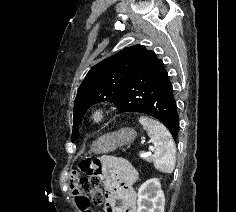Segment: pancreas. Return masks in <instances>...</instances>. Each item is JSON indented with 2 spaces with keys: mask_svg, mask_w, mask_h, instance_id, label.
Wrapping results in <instances>:
<instances>
[{
  "mask_svg": "<svg viewBox=\"0 0 236 212\" xmlns=\"http://www.w3.org/2000/svg\"><path fill=\"white\" fill-rule=\"evenodd\" d=\"M152 156L151 155H147V156H144L143 159L148 161V162H151L152 161Z\"/></svg>",
  "mask_w": 236,
  "mask_h": 212,
  "instance_id": "obj_1",
  "label": "pancreas"
}]
</instances>
